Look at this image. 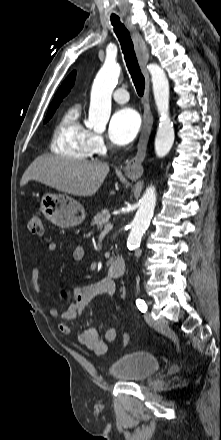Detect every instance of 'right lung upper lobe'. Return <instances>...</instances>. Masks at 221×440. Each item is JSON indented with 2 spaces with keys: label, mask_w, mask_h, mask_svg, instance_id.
<instances>
[{
  "label": "right lung upper lobe",
  "mask_w": 221,
  "mask_h": 440,
  "mask_svg": "<svg viewBox=\"0 0 221 440\" xmlns=\"http://www.w3.org/2000/svg\"><path fill=\"white\" fill-rule=\"evenodd\" d=\"M75 75L76 73L74 71L64 80L62 85L57 90L55 97L49 106L48 111L56 106H59L62 99L69 93L71 87L74 85Z\"/></svg>",
  "instance_id": "obj_1"
}]
</instances>
